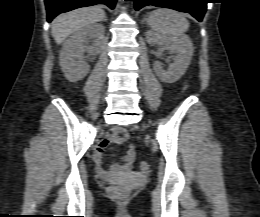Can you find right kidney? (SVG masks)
Returning <instances> with one entry per match:
<instances>
[{
    "mask_svg": "<svg viewBox=\"0 0 260 217\" xmlns=\"http://www.w3.org/2000/svg\"><path fill=\"white\" fill-rule=\"evenodd\" d=\"M105 27L102 24H89L72 34L64 43L60 52V66L65 77L70 82L83 79L89 72L90 66L85 62L84 53L96 55L104 39ZM92 39V45H88Z\"/></svg>",
    "mask_w": 260,
    "mask_h": 217,
    "instance_id": "ca27d5eb",
    "label": "right kidney"
}]
</instances>
